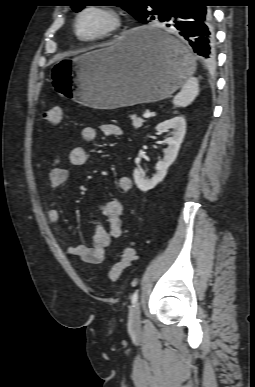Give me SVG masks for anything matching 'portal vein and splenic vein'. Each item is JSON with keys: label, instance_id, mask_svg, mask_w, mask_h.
<instances>
[{"label": "portal vein and splenic vein", "instance_id": "18ae733b", "mask_svg": "<svg viewBox=\"0 0 255 387\" xmlns=\"http://www.w3.org/2000/svg\"><path fill=\"white\" fill-rule=\"evenodd\" d=\"M153 114L149 111H146L143 115L144 118H150Z\"/></svg>", "mask_w": 255, "mask_h": 387}]
</instances>
